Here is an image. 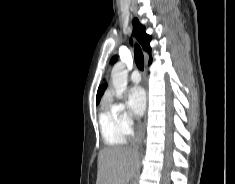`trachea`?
Returning a JSON list of instances; mask_svg holds the SVG:
<instances>
[{"label":"trachea","mask_w":235,"mask_h":184,"mask_svg":"<svg viewBox=\"0 0 235 184\" xmlns=\"http://www.w3.org/2000/svg\"><path fill=\"white\" fill-rule=\"evenodd\" d=\"M135 62L140 70L144 69V57L139 47L135 49Z\"/></svg>","instance_id":"3493384b"}]
</instances>
